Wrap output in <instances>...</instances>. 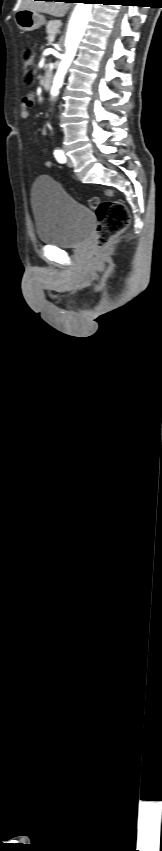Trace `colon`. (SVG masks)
<instances>
[{"label":"colon","mask_w":162,"mask_h":851,"mask_svg":"<svg viewBox=\"0 0 162 851\" xmlns=\"http://www.w3.org/2000/svg\"><path fill=\"white\" fill-rule=\"evenodd\" d=\"M22 61L25 84L32 85L36 73L35 53L32 49L27 48L23 51ZM106 193L112 194L110 190H107ZM89 205L96 211L98 218L95 246L102 249L115 236L126 229L130 221V214L127 206L116 199L100 201L97 198H92L89 200Z\"/></svg>","instance_id":"colon-1"}]
</instances>
